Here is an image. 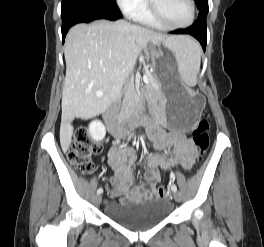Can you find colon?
<instances>
[{"label": "colon", "mask_w": 264, "mask_h": 247, "mask_svg": "<svg viewBox=\"0 0 264 247\" xmlns=\"http://www.w3.org/2000/svg\"><path fill=\"white\" fill-rule=\"evenodd\" d=\"M192 138L199 150L201 159L209 145V123L206 119L197 122ZM100 149L99 143L91 139L85 132H79L70 145L67 157L72 167L82 173H90L93 169L92 157ZM156 194L158 197L164 198L168 196L169 190L165 186H159L156 189Z\"/></svg>", "instance_id": "obj_1"}]
</instances>
